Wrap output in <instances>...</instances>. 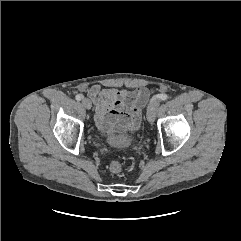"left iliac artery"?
Instances as JSON below:
<instances>
[{"mask_svg": "<svg viewBox=\"0 0 241 241\" xmlns=\"http://www.w3.org/2000/svg\"><path fill=\"white\" fill-rule=\"evenodd\" d=\"M157 98L161 101H166L168 97L166 94H160L157 96Z\"/></svg>", "mask_w": 241, "mask_h": 241, "instance_id": "obj_1", "label": "left iliac artery"}]
</instances>
